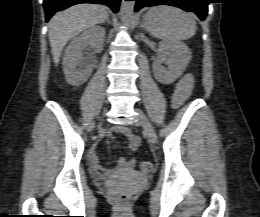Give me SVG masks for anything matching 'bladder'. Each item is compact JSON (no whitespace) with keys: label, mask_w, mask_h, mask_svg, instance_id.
<instances>
[{"label":"bladder","mask_w":260,"mask_h":217,"mask_svg":"<svg viewBox=\"0 0 260 217\" xmlns=\"http://www.w3.org/2000/svg\"><path fill=\"white\" fill-rule=\"evenodd\" d=\"M129 177L131 178H138V179H144L146 176L139 174L137 172H129Z\"/></svg>","instance_id":"31cf9c89"}]
</instances>
